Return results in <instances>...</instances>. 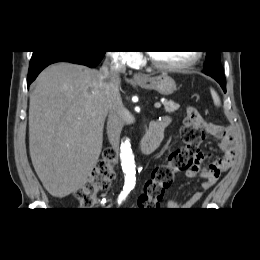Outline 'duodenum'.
I'll return each instance as SVG.
<instances>
[{
	"label": "duodenum",
	"mask_w": 260,
	"mask_h": 260,
	"mask_svg": "<svg viewBox=\"0 0 260 260\" xmlns=\"http://www.w3.org/2000/svg\"><path fill=\"white\" fill-rule=\"evenodd\" d=\"M166 126V123L161 119L151 121L146 135L138 144V150L145 155L156 150L163 139V132Z\"/></svg>",
	"instance_id": "obj_1"
}]
</instances>
